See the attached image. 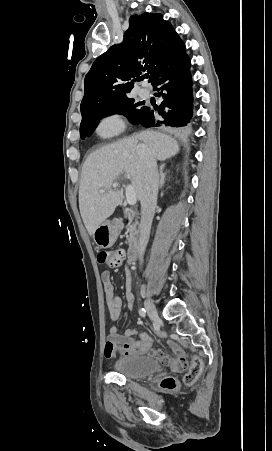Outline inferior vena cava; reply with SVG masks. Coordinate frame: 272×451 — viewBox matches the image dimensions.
<instances>
[{
    "mask_svg": "<svg viewBox=\"0 0 272 451\" xmlns=\"http://www.w3.org/2000/svg\"><path fill=\"white\" fill-rule=\"evenodd\" d=\"M140 160L144 166L143 190L141 196V222L138 251L142 257L149 239L155 206L157 204L159 174L157 162L149 148L140 144L138 146Z\"/></svg>",
    "mask_w": 272,
    "mask_h": 451,
    "instance_id": "inferior-vena-cava-1",
    "label": "inferior vena cava"
}]
</instances>
